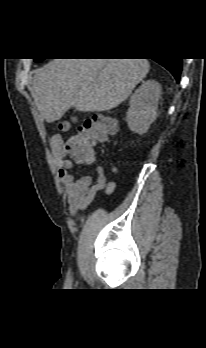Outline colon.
<instances>
[{
  "instance_id": "obj_1",
  "label": "colon",
  "mask_w": 206,
  "mask_h": 348,
  "mask_svg": "<svg viewBox=\"0 0 206 348\" xmlns=\"http://www.w3.org/2000/svg\"><path fill=\"white\" fill-rule=\"evenodd\" d=\"M63 123L61 129H66ZM116 123L108 114L96 115L81 124L77 132L61 141L59 148L74 161H86L91 158V151L99 143L107 142L115 132Z\"/></svg>"
}]
</instances>
